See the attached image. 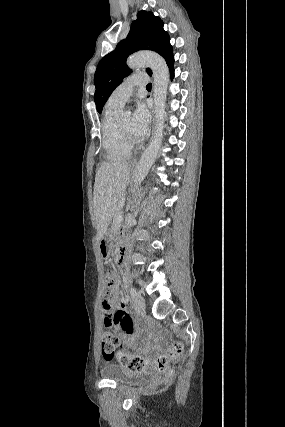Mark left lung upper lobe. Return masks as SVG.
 Listing matches in <instances>:
<instances>
[{"instance_id":"5c2ea615","label":"left lung upper lobe","mask_w":285,"mask_h":427,"mask_svg":"<svg viewBox=\"0 0 285 427\" xmlns=\"http://www.w3.org/2000/svg\"><path fill=\"white\" fill-rule=\"evenodd\" d=\"M139 50H152L160 54L166 62L173 58L170 38L163 29V21L152 12L140 11L132 22L125 40L120 41L115 50L104 56L98 63L94 83V101L97 111L103 106L113 90L122 83L131 70L126 65L127 57ZM147 72H150L147 69Z\"/></svg>"}]
</instances>
